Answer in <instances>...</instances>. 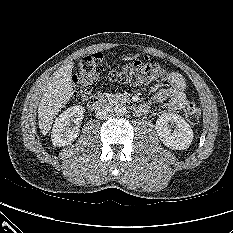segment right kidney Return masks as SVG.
<instances>
[{"label": "right kidney", "mask_w": 233, "mask_h": 233, "mask_svg": "<svg viewBox=\"0 0 233 233\" xmlns=\"http://www.w3.org/2000/svg\"><path fill=\"white\" fill-rule=\"evenodd\" d=\"M83 117L82 106H72L61 113L52 128L53 145L61 147L71 144L79 136V125Z\"/></svg>", "instance_id": "obj_1"}]
</instances>
